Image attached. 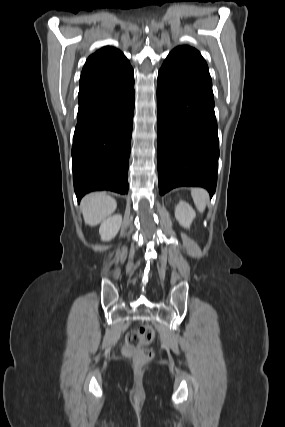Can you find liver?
<instances>
[{
  "instance_id": "6515ba94",
  "label": "liver",
  "mask_w": 285,
  "mask_h": 427,
  "mask_svg": "<svg viewBox=\"0 0 285 427\" xmlns=\"http://www.w3.org/2000/svg\"><path fill=\"white\" fill-rule=\"evenodd\" d=\"M116 207V200L106 193H91L83 198L81 211L85 223L96 226L108 218Z\"/></svg>"
}]
</instances>
